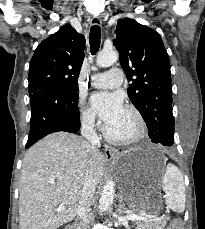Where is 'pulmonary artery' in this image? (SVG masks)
I'll return each instance as SVG.
<instances>
[{"label":"pulmonary artery","mask_w":205,"mask_h":229,"mask_svg":"<svg viewBox=\"0 0 205 229\" xmlns=\"http://www.w3.org/2000/svg\"><path fill=\"white\" fill-rule=\"evenodd\" d=\"M123 77L124 74L122 69L113 67L108 72L92 75L90 82L95 88H112L121 85Z\"/></svg>","instance_id":"e3ab8cb5"}]
</instances>
